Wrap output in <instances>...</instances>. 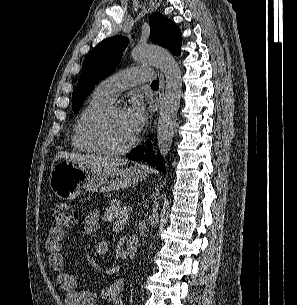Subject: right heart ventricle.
Here are the masks:
<instances>
[{"instance_id":"e07e8e85","label":"right heart ventricle","mask_w":297,"mask_h":305,"mask_svg":"<svg viewBox=\"0 0 297 305\" xmlns=\"http://www.w3.org/2000/svg\"><path fill=\"white\" fill-rule=\"evenodd\" d=\"M111 101L103 96L97 89L91 94L80 110L72 130V145L77 151L86 153H99L83 136L82 127L84 121L95 111L109 105Z\"/></svg>"}]
</instances>
